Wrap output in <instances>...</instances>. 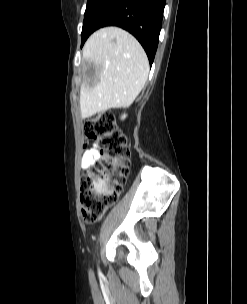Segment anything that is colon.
Returning a JSON list of instances; mask_svg holds the SVG:
<instances>
[{
  "mask_svg": "<svg viewBox=\"0 0 247 304\" xmlns=\"http://www.w3.org/2000/svg\"><path fill=\"white\" fill-rule=\"evenodd\" d=\"M89 140L97 144L100 159L82 176L80 199L83 218L93 222L117 201L129 175L130 150L109 111L87 119L84 142Z\"/></svg>",
  "mask_w": 247,
  "mask_h": 304,
  "instance_id": "5ec220e1",
  "label": "colon"
}]
</instances>
